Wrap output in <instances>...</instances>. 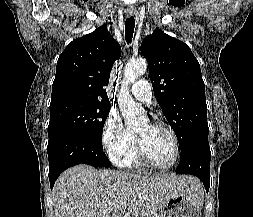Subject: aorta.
<instances>
[{
    "instance_id": "1",
    "label": "aorta",
    "mask_w": 253,
    "mask_h": 217,
    "mask_svg": "<svg viewBox=\"0 0 253 217\" xmlns=\"http://www.w3.org/2000/svg\"><path fill=\"white\" fill-rule=\"evenodd\" d=\"M147 70L143 59L129 61L124 69V81L118 95V106L128 127L139 126L146 120L144 109L138 107L129 93L128 85L142 76Z\"/></svg>"
}]
</instances>
